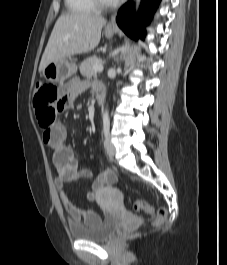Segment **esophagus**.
<instances>
[{
  "label": "esophagus",
  "instance_id": "obj_1",
  "mask_svg": "<svg viewBox=\"0 0 227 265\" xmlns=\"http://www.w3.org/2000/svg\"><path fill=\"white\" fill-rule=\"evenodd\" d=\"M116 16H117V13H113L112 14L111 19H110V21L107 24V28L108 29H116L117 28Z\"/></svg>",
  "mask_w": 227,
  "mask_h": 265
}]
</instances>
